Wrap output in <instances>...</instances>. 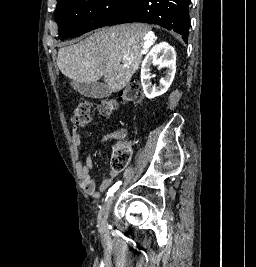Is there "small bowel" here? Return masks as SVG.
Wrapping results in <instances>:
<instances>
[{"label":"small bowel","mask_w":256,"mask_h":267,"mask_svg":"<svg viewBox=\"0 0 256 267\" xmlns=\"http://www.w3.org/2000/svg\"><path fill=\"white\" fill-rule=\"evenodd\" d=\"M107 140L122 141L123 137L105 135L101 138L100 142L103 143ZM72 142L76 148L77 173L80 179L81 187L88 196L94 199H98L101 193L105 192L111 186V184L117 177L118 172L115 170H111L109 175L101 182V184L99 185V188L97 189L92 177L90 176V171L93 168V162H92L91 157L89 155L86 156L84 163L79 157L78 149L83 143V137H82L80 129L77 126L72 127Z\"/></svg>","instance_id":"1"}]
</instances>
